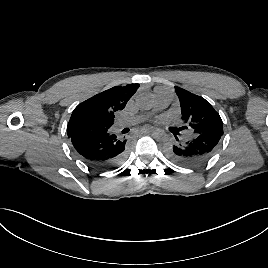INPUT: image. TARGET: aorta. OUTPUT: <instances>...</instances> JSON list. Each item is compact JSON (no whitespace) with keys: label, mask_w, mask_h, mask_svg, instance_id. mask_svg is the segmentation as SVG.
<instances>
[{"label":"aorta","mask_w":268,"mask_h":268,"mask_svg":"<svg viewBox=\"0 0 268 268\" xmlns=\"http://www.w3.org/2000/svg\"><path fill=\"white\" fill-rule=\"evenodd\" d=\"M151 102V96L147 94H139L136 98V105L140 108H148ZM152 138L157 143H163L166 135L163 131L157 130L153 133Z\"/></svg>","instance_id":"1"}]
</instances>
